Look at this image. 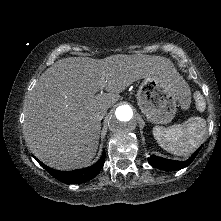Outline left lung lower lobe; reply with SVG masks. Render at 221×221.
<instances>
[{"label": "left lung lower lobe", "instance_id": "left-lung-lower-lobe-1", "mask_svg": "<svg viewBox=\"0 0 221 221\" xmlns=\"http://www.w3.org/2000/svg\"><path fill=\"white\" fill-rule=\"evenodd\" d=\"M200 149L201 147L187 161H175L151 155L148 158V162L153 167H156L161 170H166V171L179 170L188 166L194 160Z\"/></svg>", "mask_w": 221, "mask_h": 221}]
</instances>
